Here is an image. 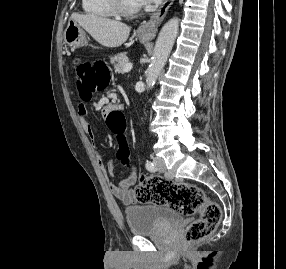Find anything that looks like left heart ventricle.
Here are the masks:
<instances>
[{
  "instance_id": "left-heart-ventricle-1",
  "label": "left heart ventricle",
  "mask_w": 286,
  "mask_h": 269,
  "mask_svg": "<svg viewBox=\"0 0 286 269\" xmlns=\"http://www.w3.org/2000/svg\"><path fill=\"white\" fill-rule=\"evenodd\" d=\"M122 1H123V4L128 8H134V7L140 6L137 0H122Z\"/></svg>"
}]
</instances>
